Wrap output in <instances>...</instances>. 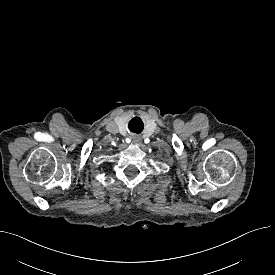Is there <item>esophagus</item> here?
Masks as SVG:
<instances>
[{"label":"esophagus","instance_id":"obj_1","mask_svg":"<svg viewBox=\"0 0 275 275\" xmlns=\"http://www.w3.org/2000/svg\"><path fill=\"white\" fill-rule=\"evenodd\" d=\"M132 142H133L134 144H138V143L140 142V138L134 136V137H132Z\"/></svg>","mask_w":275,"mask_h":275}]
</instances>
